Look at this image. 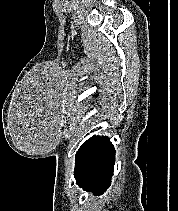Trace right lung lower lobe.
<instances>
[{"mask_svg": "<svg viewBox=\"0 0 178 211\" xmlns=\"http://www.w3.org/2000/svg\"><path fill=\"white\" fill-rule=\"evenodd\" d=\"M115 150L108 137L94 136L76 154L74 177L84 190L101 195L110 185Z\"/></svg>", "mask_w": 178, "mask_h": 211, "instance_id": "right-lung-lower-lobe-1", "label": "right lung lower lobe"}]
</instances>
